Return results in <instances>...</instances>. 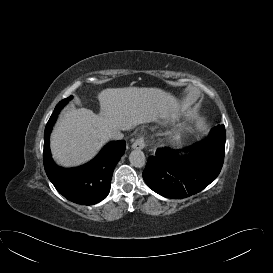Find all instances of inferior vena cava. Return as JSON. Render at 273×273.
<instances>
[{"instance_id":"inferior-vena-cava-1","label":"inferior vena cava","mask_w":273,"mask_h":273,"mask_svg":"<svg viewBox=\"0 0 273 273\" xmlns=\"http://www.w3.org/2000/svg\"><path fill=\"white\" fill-rule=\"evenodd\" d=\"M108 136L113 140H120L123 138V134L120 132V130H111L108 132Z\"/></svg>"}]
</instances>
